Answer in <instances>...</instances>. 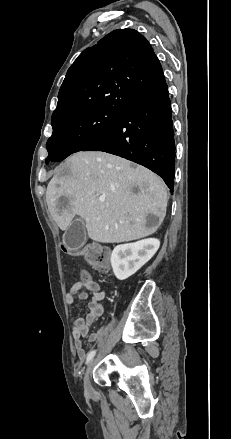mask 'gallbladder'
<instances>
[{"label": "gallbladder", "mask_w": 231, "mask_h": 439, "mask_svg": "<svg viewBox=\"0 0 231 439\" xmlns=\"http://www.w3.org/2000/svg\"><path fill=\"white\" fill-rule=\"evenodd\" d=\"M85 223L82 219H75L66 230L63 241L69 250H78L86 242Z\"/></svg>", "instance_id": "gallbladder-1"}]
</instances>
